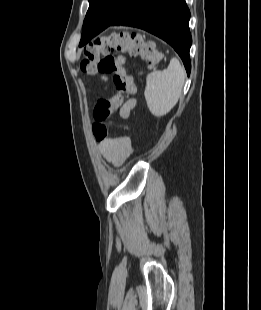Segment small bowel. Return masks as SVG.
<instances>
[{
	"instance_id": "1",
	"label": "small bowel",
	"mask_w": 261,
	"mask_h": 310,
	"mask_svg": "<svg viewBox=\"0 0 261 310\" xmlns=\"http://www.w3.org/2000/svg\"><path fill=\"white\" fill-rule=\"evenodd\" d=\"M134 99L128 100L121 107V114L128 117L135 106ZM99 141V147L104 157L114 165L122 164L132 152V142L129 137L107 136Z\"/></svg>"
}]
</instances>
